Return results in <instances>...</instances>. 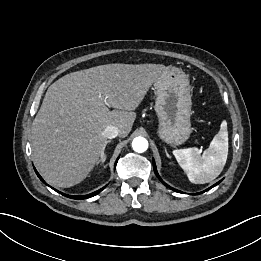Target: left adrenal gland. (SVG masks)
Returning a JSON list of instances; mask_svg holds the SVG:
<instances>
[{"mask_svg": "<svg viewBox=\"0 0 261 261\" xmlns=\"http://www.w3.org/2000/svg\"><path fill=\"white\" fill-rule=\"evenodd\" d=\"M165 151H166V150H165ZM166 155L169 157V155H168L167 151H166Z\"/></svg>", "mask_w": 261, "mask_h": 261, "instance_id": "a2214340", "label": "left adrenal gland"}]
</instances>
